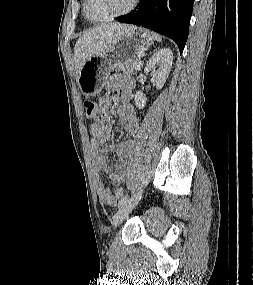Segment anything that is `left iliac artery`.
I'll return each mask as SVG.
<instances>
[{
  "label": "left iliac artery",
  "instance_id": "left-iliac-artery-1",
  "mask_svg": "<svg viewBox=\"0 0 253 285\" xmlns=\"http://www.w3.org/2000/svg\"><path fill=\"white\" fill-rule=\"evenodd\" d=\"M128 200V195H125L123 198H121V200L118 203V206H122L123 204L126 203V201Z\"/></svg>",
  "mask_w": 253,
  "mask_h": 285
}]
</instances>
